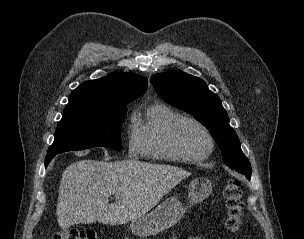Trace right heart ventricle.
<instances>
[{"label":"right heart ventricle","instance_id":"e07e8e85","mask_svg":"<svg viewBox=\"0 0 304 239\" xmlns=\"http://www.w3.org/2000/svg\"><path fill=\"white\" fill-rule=\"evenodd\" d=\"M181 115L163 103H154L147 107L141 117L135 119L140 136L138 154L152 160L179 161L181 158L168 143V129Z\"/></svg>","mask_w":304,"mask_h":239}]
</instances>
